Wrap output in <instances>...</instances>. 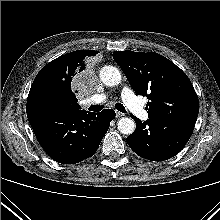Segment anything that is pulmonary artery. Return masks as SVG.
<instances>
[{
  "label": "pulmonary artery",
  "mask_w": 220,
  "mask_h": 220,
  "mask_svg": "<svg viewBox=\"0 0 220 220\" xmlns=\"http://www.w3.org/2000/svg\"><path fill=\"white\" fill-rule=\"evenodd\" d=\"M121 97L125 105L140 119H148V113L143 104L137 99L134 93L128 88L124 87L121 92ZM106 98L105 95H97L93 97V101L101 102Z\"/></svg>",
  "instance_id": "1"
}]
</instances>
